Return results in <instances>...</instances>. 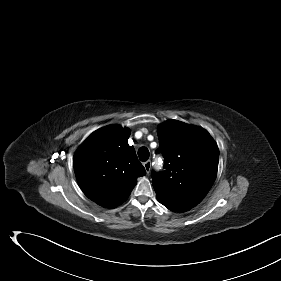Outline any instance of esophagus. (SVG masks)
I'll return each instance as SVG.
<instances>
[{"mask_svg": "<svg viewBox=\"0 0 281 281\" xmlns=\"http://www.w3.org/2000/svg\"><path fill=\"white\" fill-rule=\"evenodd\" d=\"M143 166H144L146 172L149 173V172H150V169H151V161L148 160V161L144 162V163H143Z\"/></svg>", "mask_w": 281, "mask_h": 281, "instance_id": "obj_1", "label": "esophagus"}]
</instances>
